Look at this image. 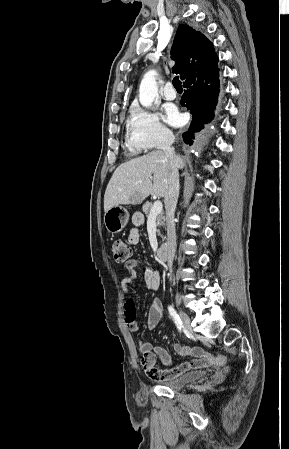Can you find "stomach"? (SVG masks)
Masks as SVG:
<instances>
[{"mask_svg": "<svg viewBox=\"0 0 289 449\" xmlns=\"http://www.w3.org/2000/svg\"><path fill=\"white\" fill-rule=\"evenodd\" d=\"M129 220L127 209L121 205L110 208L104 214V224L111 233H118L123 230Z\"/></svg>", "mask_w": 289, "mask_h": 449, "instance_id": "obj_1", "label": "stomach"}]
</instances>
